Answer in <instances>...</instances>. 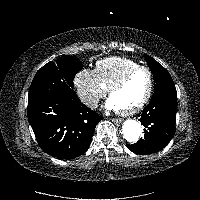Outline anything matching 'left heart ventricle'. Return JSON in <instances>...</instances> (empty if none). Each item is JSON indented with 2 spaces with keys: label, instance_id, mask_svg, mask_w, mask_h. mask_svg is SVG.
Instances as JSON below:
<instances>
[{
  "label": "left heart ventricle",
  "instance_id": "1",
  "mask_svg": "<svg viewBox=\"0 0 200 200\" xmlns=\"http://www.w3.org/2000/svg\"><path fill=\"white\" fill-rule=\"evenodd\" d=\"M149 84L147 72L139 71L118 90L111 98L115 101L120 110L133 107L139 103L145 96Z\"/></svg>",
  "mask_w": 200,
  "mask_h": 200
}]
</instances>
